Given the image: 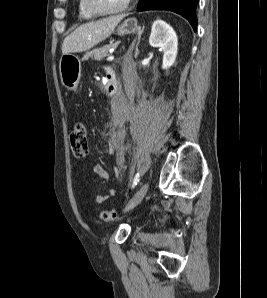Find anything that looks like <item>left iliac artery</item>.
<instances>
[{"mask_svg":"<svg viewBox=\"0 0 267 298\" xmlns=\"http://www.w3.org/2000/svg\"><path fill=\"white\" fill-rule=\"evenodd\" d=\"M139 177H140V174L136 173V175L133 179L132 188H134L137 185V183L139 182Z\"/></svg>","mask_w":267,"mask_h":298,"instance_id":"44dca946","label":"left iliac artery"}]
</instances>
